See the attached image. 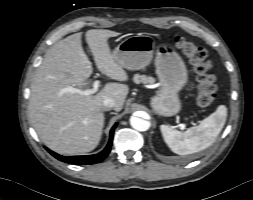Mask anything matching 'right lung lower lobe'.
I'll list each match as a JSON object with an SVG mask.
<instances>
[{"mask_svg":"<svg viewBox=\"0 0 253 200\" xmlns=\"http://www.w3.org/2000/svg\"><path fill=\"white\" fill-rule=\"evenodd\" d=\"M116 126H117V124H115L112 127L111 131H110L109 142H108L107 146L105 147V149L103 151H101L100 153L95 154V155L64 157V156L58 155L57 153H55V152H53V151H51L47 148L46 149L55 158L59 159L60 161L66 162V163H71V164H94V163H98V162H101L104 158H106V156L110 152L112 141H113V134H114V130H115Z\"/></svg>","mask_w":253,"mask_h":200,"instance_id":"obj_1","label":"right lung lower lobe"}]
</instances>
